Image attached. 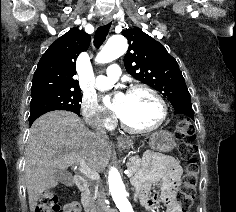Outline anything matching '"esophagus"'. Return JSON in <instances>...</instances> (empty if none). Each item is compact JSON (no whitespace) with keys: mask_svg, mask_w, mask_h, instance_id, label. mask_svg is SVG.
<instances>
[{"mask_svg":"<svg viewBox=\"0 0 236 212\" xmlns=\"http://www.w3.org/2000/svg\"><path fill=\"white\" fill-rule=\"evenodd\" d=\"M112 21V16L111 15H106V16H104V18H103V23L104 24H108V23H110ZM118 142H123L124 141V138H122V137H118Z\"/></svg>","mask_w":236,"mask_h":212,"instance_id":"esophagus-1","label":"esophagus"}]
</instances>
